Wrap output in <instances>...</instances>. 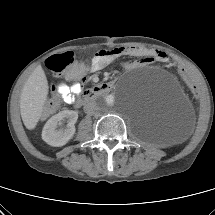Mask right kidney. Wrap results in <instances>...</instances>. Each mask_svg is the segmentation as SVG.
Segmentation results:
<instances>
[{
  "label": "right kidney",
  "instance_id": "1",
  "mask_svg": "<svg viewBox=\"0 0 215 215\" xmlns=\"http://www.w3.org/2000/svg\"><path fill=\"white\" fill-rule=\"evenodd\" d=\"M78 113L72 110H64L52 116L44 125L42 139L49 145L59 147L65 145L75 134V123ZM63 121H67L65 128L57 129Z\"/></svg>",
  "mask_w": 215,
  "mask_h": 215
}]
</instances>
